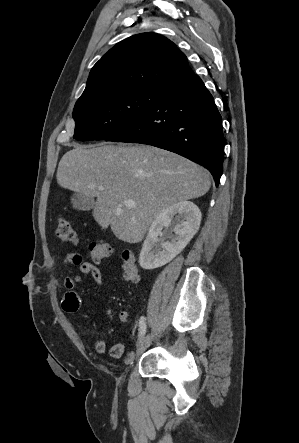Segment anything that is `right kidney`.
Here are the masks:
<instances>
[{"mask_svg": "<svg viewBox=\"0 0 299 443\" xmlns=\"http://www.w3.org/2000/svg\"><path fill=\"white\" fill-rule=\"evenodd\" d=\"M201 212L190 201H183L166 208L152 222L139 256L143 269L161 267L175 258L190 242L199 229ZM163 228H171L175 237L171 241L160 240Z\"/></svg>", "mask_w": 299, "mask_h": 443, "instance_id": "1", "label": "right kidney"}]
</instances>
